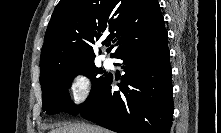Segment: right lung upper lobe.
<instances>
[{
	"mask_svg": "<svg viewBox=\"0 0 221 133\" xmlns=\"http://www.w3.org/2000/svg\"><path fill=\"white\" fill-rule=\"evenodd\" d=\"M165 36L158 0H61L45 34L41 73L52 65L94 62L93 45L100 38L106 37L102 44L113 41L111 57L117 58Z\"/></svg>",
	"mask_w": 221,
	"mask_h": 133,
	"instance_id": "cb5924a9",
	"label": "right lung upper lobe"
}]
</instances>
